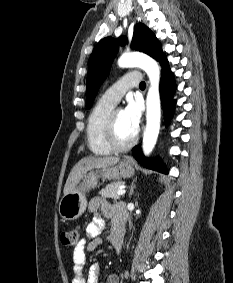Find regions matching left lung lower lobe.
Masks as SVG:
<instances>
[{"mask_svg":"<svg viewBox=\"0 0 233 283\" xmlns=\"http://www.w3.org/2000/svg\"><path fill=\"white\" fill-rule=\"evenodd\" d=\"M157 61H159L162 67L160 80V96L166 121L168 122L170 120V117L173 115L175 100H173L172 97L174 90L176 89V84L173 79V73L169 69L166 56L163 54ZM132 154L135 159L143 166L167 174V169L165 165L159 159H146L138 146L133 149Z\"/></svg>","mask_w":233,"mask_h":283,"instance_id":"obj_1","label":"left lung lower lobe"}]
</instances>
